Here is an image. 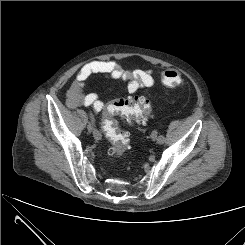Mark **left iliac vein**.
Returning <instances> with one entry per match:
<instances>
[{"instance_id": "left-iliac-vein-1", "label": "left iliac vein", "mask_w": 245, "mask_h": 245, "mask_svg": "<svg viewBox=\"0 0 245 245\" xmlns=\"http://www.w3.org/2000/svg\"><path fill=\"white\" fill-rule=\"evenodd\" d=\"M151 138L152 140H157V132L156 131H153L152 134H151Z\"/></svg>"}]
</instances>
